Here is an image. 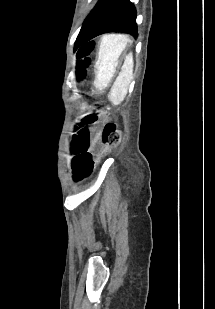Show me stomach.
Returning a JSON list of instances; mask_svg holds the SVG:
<instances>
[{"label":"stomach","instance_id":"0dacf381","mask_svg":"<svg viewBox=\"0 0 215 309\" xmlns=\"http://www.w3.org/2000/svg\"><path fill=\"white\" fill-rule=\"evenodd\" d=\"M129 37L124 34H108L100 39L98 59L95 64L94 86L102 90L108 86L122 59L127 55Z\"/></svg>","mask_w":215,"mask_h":309}]
</instances>
